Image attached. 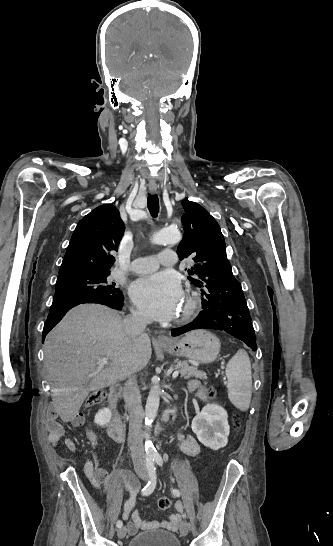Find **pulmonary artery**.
Segmentation results:
<instances>
[{
    "mask_svg": "<svg viewBox=\"0 0 333 546\" xmlns=\"http://www.w3.org/2000/svg\"><path fill=\"white\" fill-rule=\"evenodd\" d=\"M177 256L172 250H164L157 256L140 257L132 261L130 270L137 274L150 273L156 270L160 265L173 266L176 263Z\"/></svg>",
    "mask_w": 333,
    "mask_h": 546,
    "instance_id": "1",
    "label": "pulmonary artery"
}]
</instances>
